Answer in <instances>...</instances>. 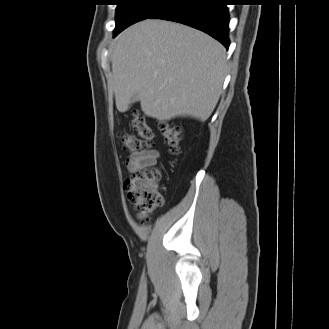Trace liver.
<instances>
[{
	"label": "liver",
	"instance_id": "liver-1",
	"mask_svg": "<svg viewBox=\"0 0 329 329\" xmlns=\"http://www.w3.org/2000/svg\"><path fill=\"white\" fill-rule=\"evenodd\" d=\"M225 74L226 51L218 41L170 21L147 19L128 27L112 55L118 111L126 112L137 94L144 114L159 120L208 119Z\"/></svg>",
	"mask_w": 329,
	"mask_h": 329
}]
</instances>
